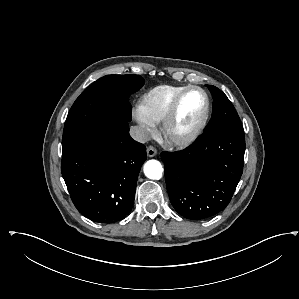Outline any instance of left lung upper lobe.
Masks as SVG:
<instances>
[{"label": "left lung upper lobe", "mask_w": 299, "mask_h": 299, "mask_svg": "<svg viewBox=\"0 0 299 299\" xmlns=\"http://www.w3.org/2000/svg\"><path fill=\"white\" fill-rule=\"evenodd\" d=\"M208 88L214 99L213 114L204 132L218 129H236L243 131L239 116L227 96L213 85H210Z\"/></svg>", "instance_id": "1"}]
</instances>
